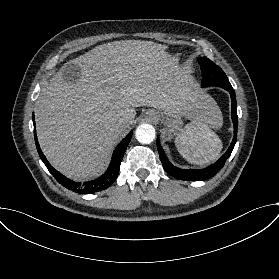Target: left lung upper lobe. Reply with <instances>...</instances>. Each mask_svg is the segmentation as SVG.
Wrapping results in <instances>:
<instances>
[{"mask_svg": "<svg viewBox=\"0 0 279 279\" xmlns=\"http://www.w3.org/2000/svg\"><path fill=\"white\" fill-rule=\"evenodd\" d=\"M202 71V87L219 86L224 89L232 87L224 71L206 57L198 59Z\"/></svg>", "mask_w": 279, "mask_h": 279, "instance_id": "1", "label": "left lung upper lobe"}]
</instances>
